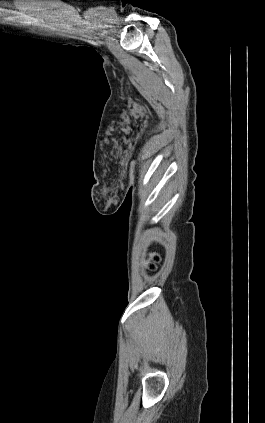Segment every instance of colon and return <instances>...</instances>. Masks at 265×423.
I'll list each match as a JSON object with an SVG mask.
<instances>
[{"mask_svg":"<svg viewBox=\"0 0 265 423\" xmlns=\"http://www.w3.org/2000/svg\"><path fill=\"white\" fill-rule=\"evenodd\" d=\"M160 261V256L156 253L152 254L151 260L146 263L147 269L150 271L155 270L156 263Z\"/></svg>","mask_w":265,"mask_h":423,"instance_id":"colon-1","label":"colon"}]
</instances>
